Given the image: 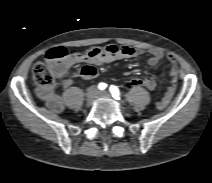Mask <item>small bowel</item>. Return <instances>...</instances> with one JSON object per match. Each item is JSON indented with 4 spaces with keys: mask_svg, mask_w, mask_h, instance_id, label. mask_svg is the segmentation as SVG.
<instances>
[{
    "mask_svg": "<svg viewBox=\"0 0 212 183\" xmlns=\"http://www.w3.org/2000/svg\"><path fill=\"white\" fill-rule=\"evenodd\" d=\"M142 54L149 55L148 64L152 67L158 65V63L166 56L164 51L159 48L137 49L130 46L118 47L115 45L92 47L86 52L70 54L62 61L55 63L53 65V71L57 78H62L74 65L84 62L88 65L81 68L79 76L84 80H91L98 75V71L95 66L108 64L118 60L134 58ZM167 58L171 67V85L166 90L163 97L156 102V107L158 109H164L169 104L176 90L178 75L177 63L173 56L167 55ZM144 79L148 83L147 89L153 90L156 87V81L153 76L148 75ZM71 85L72 80L70 78H66L62 82V86L64 88H69ZM38 95L46 102L48 108L53 112H61L63 110V100L54 87L39 88Z\"/></svg>",
    "mask_w": 212,
    "mask_h": 183,
    "instance_id": "small-bowel-1",
    "label": "small bowel"
}]
</instances>
